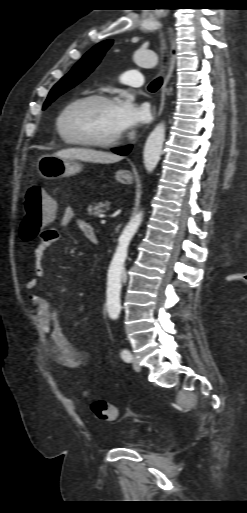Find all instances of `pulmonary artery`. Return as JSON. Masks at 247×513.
<instances>
[{
	"label": "pulmonary artery",
	"mask_w": 247,
	"mask_h": 513,
	"mask_svg": "<svg viewBox=\"0 0 247 513\" xmlns=\"http://www.w3.org/2000/svg\"><path fill=\"white\" fill-rule=\"evenodd\" d=\"M121 80L131 86L140 87L143 85V77L136 69L126 70L121 75Z\"/></svg>",
	"instance_id": "1"
}]
</instances>
